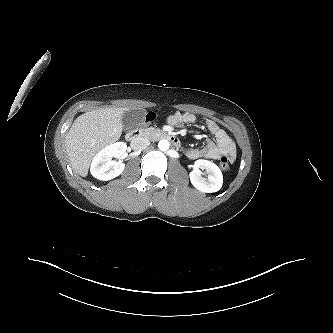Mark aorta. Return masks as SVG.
Listing matches in <instances>:
<instances>
[{
  "instance_id": "obj_1",
  "label": "aorta",
  "mask_w": 333,
  "mask_h": 333,
  "mask_svg": "<svg viewBox=\"0 0 333 333\" xmlns=\"http://www.w3.org/2000/svg\"><path fill=\"white\" fill-rule=\"evenodd\" d=\"M169 147H170V143L166 139L160 140L159 143H158V148L161 151H167L169 149Z\"/></svg>"
}]
</instances>
